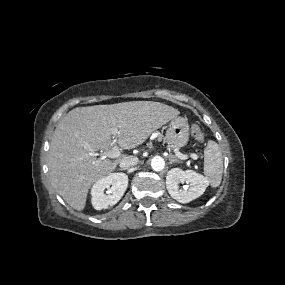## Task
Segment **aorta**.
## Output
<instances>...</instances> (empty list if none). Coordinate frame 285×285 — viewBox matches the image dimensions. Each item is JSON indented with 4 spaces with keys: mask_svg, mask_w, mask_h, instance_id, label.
<instances>
[{
    "mask_svg": "<svg viewBox=\"0 0 285 285\" xmlns=\"http://www.w3.org/2000/svg\"><path fill=\"white\" fill-rule=\"evenodd\" d=\"M165 167V161L161 156H154L151 159V168L154 171H162Z\"/></svg>",
    "mask_w": 285,
    "mask_h": 285,
    "instance_id": "obj_1",
    "label": "aorta"
}]
</instances>
